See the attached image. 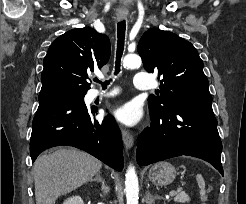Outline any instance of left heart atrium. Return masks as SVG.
Wrapping results in <instances>:
<instances>
[{"mask_svg": "<svg viewBox=\"0 0 246 204\" xmlns=\"http://www.w3.org/2000/svg\"><path fill=\"white\" fill-rule=\"evenodd\" d=\"M111 116L124 125L134 126L139 122L141 113L136 105L127 103L111 111Z\"/></svg>", "mask_w": 246, "mask_h": 204, "instance_id": "39dd6f15", "label": "left heart atrium"}]
</instances>
